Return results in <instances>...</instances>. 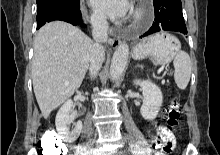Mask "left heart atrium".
<instances>
[{
	"instance_id": "1",
	"label": "left heart atrium",
	"mask_w": 220,
	"mask_h": 155,
	"mask_svg": "<svg viewBox=\"0 0 220 155\" xmlns=\"http://www.w3.org/2000/svg\"><path fill=\"white\" fill-rule=\"evenodd\" d=\"M91 4L111 18H124L132 12L130 0H91Z\"/></svg>"
}]
</instances>
